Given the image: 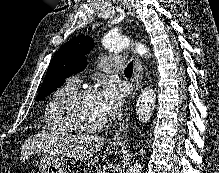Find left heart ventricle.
Wrapping results in <instances>:
<instances>
[{"mask_svg": "<svg viewBox=\"0 0 219 173\" xmlns=\"http://www.w3.org/2000/svg\"><path fill=\"white\" fill-rule=\"evenodd\" d=\"M78 116L80 119L90 125L101 123L106 119L103 114L97 99L96 94L93 93L85 97L77 107Z\"/></svg>", "mask_w": 219, "mask_h": 173, "instance_id": "left-heart-ventricle-1", "label": "left heart ventricle"}]
</instances>
